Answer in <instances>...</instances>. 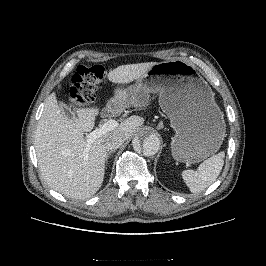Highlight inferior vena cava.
Wrapping results in <instances>:
<instances>
[{"mask_svg":"<svg viewBox=\"0 0 266 266\" xmlns=\"http://www.w3.org/2000/svg\"><path fill=\"white\" fill-rule=\"evenodd\" d=\"M125 141V138L120 134H113L106 138L105 140V147L108 150H115L119 148L123 142Z\"/></svg>","mask_w":266,"mask_h":266,"instance_id":"inferior-vena-cava-1","label":"inferior vena cava"}]
</instances>
